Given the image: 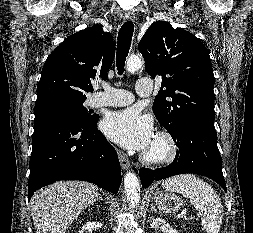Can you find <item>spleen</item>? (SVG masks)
<instances>
[{"mask_svg":"<svg viewBox=\"0 0 253 233\" xmlns=\"http://www.w3.org/2000/svg\"><path fill=\"white\" fill-rule=\"evenodd\" d=\"M162 186L166 190L179 192L189 198L194 207L203 214L201 222L204 230L207 233H219L223 205L209 184L192 174H183L167 179Z\"/></svg>","mask_w":253,"mask_h":233,"instance_id":"spleen-1","label":"spleen"}]
</instances>
